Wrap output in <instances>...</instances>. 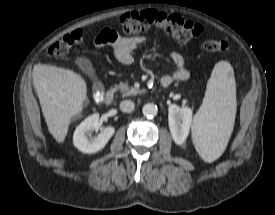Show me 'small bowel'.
<instances>
[{
  "mask_svg": "<svg viewBox=\"0 0 275 215\" xmlns=\"http://www.w3.org/2000/svg\"><path fill=\"white\" fill-rule=\"evenodd\" d=\"M146 41L144 36L123 37L115 31L105 28L95 39L96 46L109 45L113 48L117 58L123 64L129 65L134 62V51ZM171 60L175 66L173 73L166 74L161 78L162 85H170L174 81H186L190 73L184 65V58L179 52L171 54Z\"/></svg>",
  "mask_w": 275,
  "mask_h": 215,
  "instance_id": "obj_1",
  "label": "small bowel"
}]
</instances>
